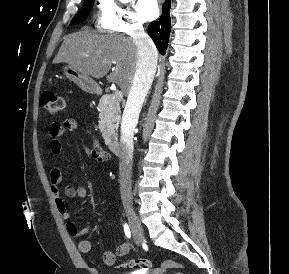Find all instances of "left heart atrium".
Listing matches in <instances>:
<instances>
[{
	"label": "left heart atrium",
	"mask_w": 289,
	"mask_h": 274,
	"mask_svg": "<svg viewBox=\"0 0 289 274\" xmlns=\"http://www.w3.org/2000/svg\"><path fill=\"white\" fill-rule=\"evenodd\" d=\"M137 12L140 18L144 21L155 19L159 13L157 0H138Z\"/></svg>",
	"instance_id": "obj_1"
}]
</instances>
